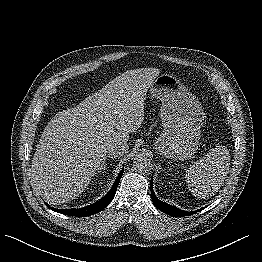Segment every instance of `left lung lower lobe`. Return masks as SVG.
Wrapping results in <instances>:
<instances>
[{"mask_svg":"<svg viewBox=\"0 0 262 262\" xmlns=\"http://www.w3.org/2000/svg\"><path fill=\"white\" fill-rule=\"evenodd\" d=\"M152 179H151V183H150V189H151V198H152V201L154 203V206L159 209L160 211L168 214V215H171L173 217H184V216H188V215H192V214H195L197 212H199L200 210L204 209H200V210H197V211H191V212H188V211H184V210H180L172 205H169L165 202H162L161 200H159L156 195L154 194V191H153V187H152Z\"/></svg>","mask_w":262,"mask_h":262,"instance_id":"1","label":"left lung lower lobe"}]
</instances>
